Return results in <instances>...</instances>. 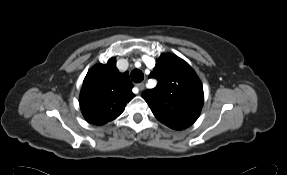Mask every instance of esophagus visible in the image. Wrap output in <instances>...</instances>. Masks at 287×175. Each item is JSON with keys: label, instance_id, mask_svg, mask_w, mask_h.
Masks as SVG:
<instances>
[{"label": "esophagus", "instance_id": "obj_1", "mask_svg": "<svg viewBox=\"0 0 287 175\" xmlns=\"http://www.w3.org/2000/svg\"><path fill=\"white\" fill-rule=\"evenodd\" d=\"M136 87H137L140 91H142V90L144 89V83H143V82L137 83V84H136Z\"/></svg>", "mask_w": 287, "mask_h": 175}]
</instances>
